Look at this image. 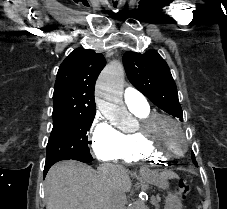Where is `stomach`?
I'll return each mask as SVG.
<instances>
[{"instance_id": "stomach-1", "label": "stomach", "mask_w": 227, "mask_h": 209, "mask_svg": "<svg viewBox=\"0 0 227 209\" xmlns=\"http://www.w3.org/2000/svg\"><path fill=\"white\" fill-rule=\"evenodd\" d=\"M146 181H148L151 184H154L158 186L159 188H162L164 190L169 189V183L162 177V175H159L155 172L151 173L150 175L145 177ZM182 204L179 199V197L171 192L168 191V194L165 199V209H181Z\"/></svg>"}]
</instances>
